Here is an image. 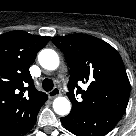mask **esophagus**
I'll return each mask as SVG.
<instances>
[{
    "label": "esophagus",
    "instance_id": "obj_1",
    "mask_svg": "<svg viewBox=\"0 0 136 136\" xmlns=\"http://www.w3.org/2000/svg\"><path fill=\"white\" fill-rule=\"evenodd\" d=\"M60 95V89L58 87H55L54 89H52L49 93H48V96L49 98H55L57 96Z\"/></svg>",
    "mask_w": 136,
    "mask_h": 136
}]
</instances>
